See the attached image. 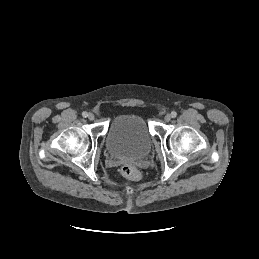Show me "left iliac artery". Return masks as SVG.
<instances>
[{"mask_svg":"<svg viewBox=\"0 0 259 259\" xmlns=\"http://www.w3.org/2000/svg\"><path fill=\"white\" fill-rule=\"evenodd\" d=\"M177 116V113L175 111L171 112V117L175 118Z\"/></svg>","mask_w":259,"mask_h":259,"instance_id":"44dca946","label":"left iliac artery"}]
</instances>
